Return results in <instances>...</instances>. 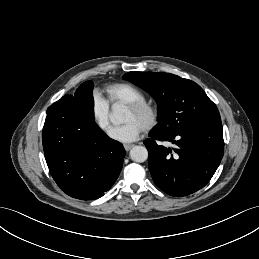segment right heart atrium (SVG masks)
I'll use <instances>...</instances> for the list:
<instances>
[{
  "label": "right heart atrium",
  "instance_id": "d8ad5b80",
  "mask_svg": "<svg viewBox=\"0 0 259 259\" xmlns=\"http://www.w3.org/2000/svg\"><path fill=\"white\" fill-rule=\"evenodd\" d=\"M92 117L97 126L104 132H108L111 122V110L109 103L99 93L95 92L91 101Z\"/></svg>",
  "mask_w": 259,
  "mask_h": 259
}]
</instances>
